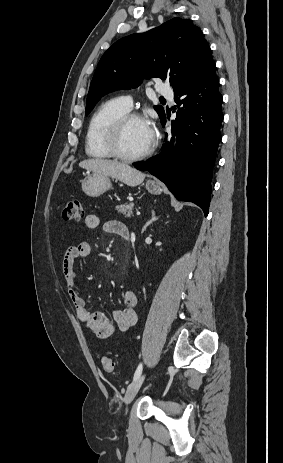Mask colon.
Here are the masks:
<instances>
[{"label": "colon", "instance_id": "5ec220e1", "mask_svg": "<svg viewBox=\"0 0 283 463\" xmlns=\"http://www.w3.org/2000/svg\"><path fill=\"white\" fill-rule=\"evenodd\" d=\"M84 216L82 203L78 200L69 201L62 210V218L64 220H80ZM102 365L106 372L112 373L115 369V364L112 358L105 356L102 358Z\"/></svg>", "mask_w": 283, "mask_h": 463}]
</instances>
